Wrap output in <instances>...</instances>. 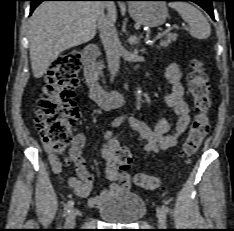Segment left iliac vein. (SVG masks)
<instances>
[{"label": "left iliac vein", "mask_w": 234, "mask_h": 231, "mask_svg": "<svg viewBox=\"0 0 234 231\" xmlns=\"http://www.w3.org/2000/svg\"><path fill=\"white\" fill-rule=\"evenodd\" d=\"M156 215L158 218L159 226L165 228L166 227V214L162 210V208H157L156 209Z\"/></svg>", "instance_id": "left-iliac-vein-1"}]
</instances>
